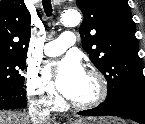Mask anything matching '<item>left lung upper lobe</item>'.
<instances>
[{
  "label": "left lung upper lobe",
  "instance_id": "obj_1",
  "mask_svg": "<svg viewBox=\"0 0 145 124\" xmlns=\"http://www.w3.org/2000/svg\"><path fill=\"white\" fill-rule=\"evenodd\" d=\"M84 15L82 46L108 82L106 101L124 94L145 97L135 23L127 0H76Z\"/></svg>",
  "mask_w": 145,
  "mask_h": 124
}]
</instances>
